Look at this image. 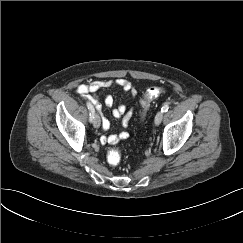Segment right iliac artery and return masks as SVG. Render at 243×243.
<instances>
[{
  "mask_svg": "<svg viewBox=\"0 0 243 243\" xmlns=\"http://www.w3.org/2000/svg\"><path fill=\"white\" fill-rule=\"evenodd\" d=\"M87 108L90 111V122H92L94 108H93V106L89 102H87Z\"/></svg>",
  "mask_w": 243,
  "mask_h": 243,
  "instance_id": "1",
  "label": "right iliac artery"
}]
</instances>
